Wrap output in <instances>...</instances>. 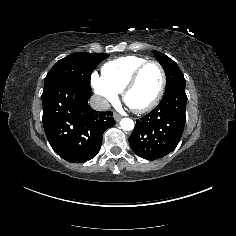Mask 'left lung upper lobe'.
<instances>
[{
	"mask_svg": "<svg viewBox=\"0 0 236 236\" xmlns=\"http://www.w3.org/2000/svg\"><path fill=\"white\" fill-rule=\"evenodd\" d=\"M154 55L166 73V90L182 87L185 88V79L178 65L165 54L154 50Z\"/></svg>",
	"mask_w": 236,
	"mask_h": 236,
	"instance_id": "left-lung-upper-lobe-1",
	"label": "left lung upper lobe"
}]
</instances>
